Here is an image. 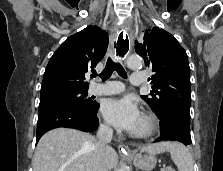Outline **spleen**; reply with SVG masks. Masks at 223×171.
<instances>
[{
  "label": "spleen",
  "mask_w": 223,
  "mask_h": 171,
  "mask_svg": "<svg viewBox=\"0 0 223 171\" xmlns=\"http://www.w3.org/2000/svg\"><path fill=\"white\" fill-rule=\"evenodd\" d=\"M168 150L171 154V159L177 166L179 171H193L194 160L193 156L184 145L176 142H168Z\"/></svg>",
  "instance_id": "3e777b00"
}]
</instances>
